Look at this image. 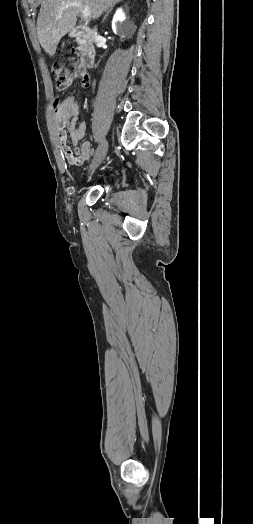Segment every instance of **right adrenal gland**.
<instances>
[{
	"mask_svg": "<svg viewBox=\"0 0 253 524\" xmlns=\"http://www.w3.org/2000/svg\"><path fill=\"white\" fill-rule=\"evenodd\" d=\"M119 1H121V0H118V2H119ZM114 5H115V4H114ZM114 5H112V6L110 7V9L107 11L106 15H105L104 18H103V22L106 20L107 16H108L109 13L112 11Z\"/></svg>",
	"mask_w": 253,
	"mask_h": 524,
	"instance_id": "obj_1",
	"label": "right adrenal gland"
}]
</instances>
